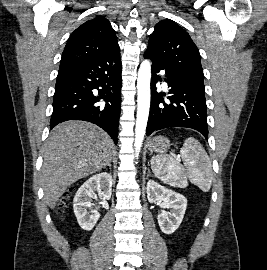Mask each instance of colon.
<instances>
[{"instance_id":"colon-1","label":"colon","mask_w":267,"mask_h":270,"mask_svg":"<svg viewBox=\"0 0 267 270\" xmlns=\"http://www.w3.org/2000/svg\"><path fill=\"white\" fill-rule=\"evenodd\" d=\"M71 192H72V190L66 192L64 194V196L62 197V199H61V201L59 203V210L60 211H63V209L66 207V204H67V201H68V199L70 197Z\"/></svg>"}]
</instances>
